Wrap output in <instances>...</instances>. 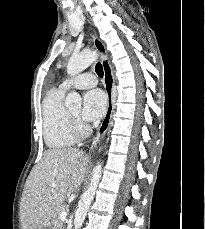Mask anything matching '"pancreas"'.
Instances as JSON below:
<instances>
[{"mask_svg":"<svg viewBox=\"0 0 205 229\" xmlns=\"http://www.w3.org/2000/svg\"><path fill=\"white\" fill-rule=\"evenodd\" d=\"M64 211L65 212L67 211V207L65 205H62L54 213V215H53V224H54V228L55 229H62L63 222L60 219V213L64 212Z\"/></svg>","mask_w":205,"mask_h":229,"instance_id":"obj_1","label":"pancreas"}]
</instances>
